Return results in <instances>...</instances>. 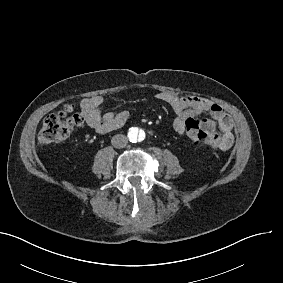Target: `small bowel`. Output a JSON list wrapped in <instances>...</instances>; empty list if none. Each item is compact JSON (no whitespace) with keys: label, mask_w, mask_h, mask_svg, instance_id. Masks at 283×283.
Here are the masks:
<instances>
[{"label":"small bowel","mask_w":283,"mask_h":283,"mask_svg":"<svg viewBox=\"0 0 283 283\" xmlns=\"http://www.w3.org/2000/svg\"><path fill=\"white\" fill-rule=\"evenodd\" d=\"M155 98L168 104L175 113L173 127L178 134H185L181 126L186 118L198 117L202 113H208L210 118L201 119L205 130L210 136L207 147L225 151L233 146L235 141L233 119L221 105L203 96H177L168 91L157 92ZM102 104L103 97L101 95H94L81 101L82 115L89 127L98 133L105 134L115 131L126 124L130 116L127 110L102 114L100 110Z\"/></svg>","instance_id":"c3829d8e"}]
</instances>
